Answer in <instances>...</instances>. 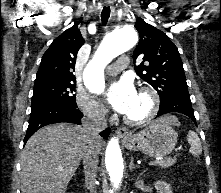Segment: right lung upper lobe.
<instances>
[{
  "label": "right lung upper lobe",
  "instance_id": "cb5924a9",
  "mask_svg": "<svg viewBox=\"0 0 221 193\" xmlns=\"http://www.w3.org/2000/svg\"><path fill=\"white\" fill-rule=\"evenodd\" d=\"M84 44L74 24L57 37L44 53L35 85L50 82H75L74 71L78 50Z\"/></svg>",
  "mask_w": 221,
  "mask_h": 193
}]
</instances>
